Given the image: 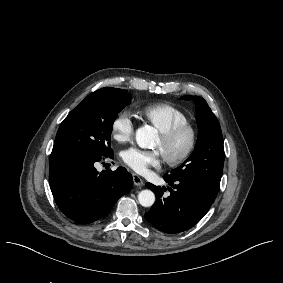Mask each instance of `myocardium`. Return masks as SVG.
Returning a JSON list of instances; mask_svg holds the SVG:
<instances>
[{"label":"myocardium","instance_id":"myocardium-1","mask_svg":"<svg viewBox=\"0 0 283 283\" xmlns=\"http://www.w3.org/2000/svg\"><path fill=\"white\" fill-rule=\"evenodd\" d=\"M183 134H187L189 137L186 148L178 155H163L164 161L169 166H180L191 158L198 146L199 132L194 124L186 122L177 124L160 135L163 144L171 145Z\"/></svg>","mask_w":283,"mask_h":283}]
</instances>
